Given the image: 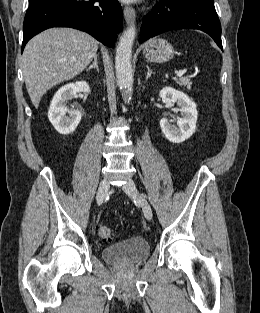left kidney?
Returning a JSON list of instances; mask_svg holds the SVG:
<instances>
[{
    "mask_svg": "<svg viewBox=\"0 0 260 313\" xmlns=\"http://www.w3.org/2000/svg\"><path fill=\"white\" fill-rule=\"evenodd\" d=\"M159 97L163 103H177L181 113V118L178 119L177 126L172 125L167 118L161 119L160 127L165 137L173 143H181L190 138L195 132L198 117L196 103L183 92L171 87L163 88L159 93Z\"/></svg>",
    "mask_w": 260,
    "mask_h": 313,
    "instance_id": "1",
    "label": "left kidney"
}]
</instances>
